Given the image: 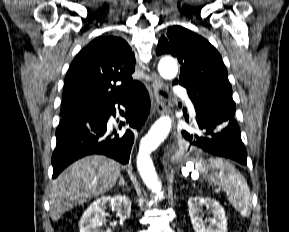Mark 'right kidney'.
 Returning a JSON list of instances; mask_svg holds the SVG:
<instances>
[{
	"label": "right kidney",
	"mask_w": 289,
	"mask_h": 232,
	"mask_svg": "<svg viewBox=\"0 0 289 232\" xmlns=\"http://www.w3.org/2000/svg\"><path fill=\"white\" fill-rule=\"evenodd\" d=\"M114 207L117 210V216L121 221L130 217L131 202L125 195L103 196L94 201L83 213L80 222V232H103L101 230L102 217L105 214L106 207ZM106 232H112L108 228Z\"/></svg>",
	"instance_id": "ca27d5eb"
}]
</instances>
